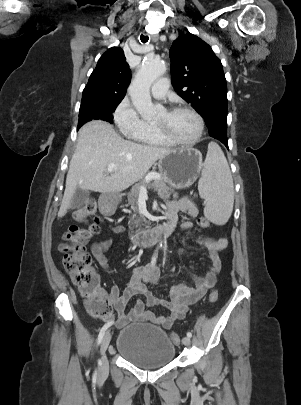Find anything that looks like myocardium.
Listing matches in <instances>:
<instances>
[{"mask_svg": "<svg viewBox=\"0 0 301 405\" xmlns=\"http://www.w3.org/2000/svg\"><path fill=\"white\" fill-rule=\"evenodd\" d=\"M166 111H168V112L188 111V112H190L191 114L194 115V117L196 118V120L198 122V132H197L196 136L191 140H180V139L174 137L172 134H170L164 128V126L154 123L153 126H154L156 132L164 140H166L170 144L182 145V146H192L200 141V139L202 138L203 133H204V120L197 110H195L193 107L188 106V105H177L170 109H167Z\"/></svg>", "mask_w": 301, "mask_h": 405, "instance_id": "f54148a6", "label": "myocardium"}]
</instances>
